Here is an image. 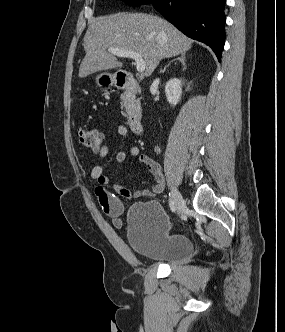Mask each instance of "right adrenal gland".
Segmentation results:
<instances>
[{
    "label": "right adrenal gland",
    "mask_w": 285,
    "mask_h": 332,
    "mask_svg": "<svg viewBox=\"0 0 285 332\" xmlns=\"http://www.w3.org/2000/svg\"><path fill=\"white\" fill-rule=\"evenodd\" d=\"M174 61H180V62L182 63V65L185 66V65H186V56H185V54H182L180 57H178V58H176V59L170 61V62L164 67V69H161V70H160V73H164V72L166 71L167 67H169V65H170L172 62H174Z\"/></svg>",
    "instance_id": "right-adrenal-gland-1"
}]
</instances>
